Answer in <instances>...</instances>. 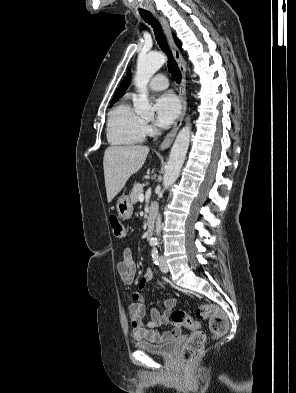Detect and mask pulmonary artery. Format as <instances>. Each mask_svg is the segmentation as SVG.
<instances>
[{
	"label": "pulmonary artery",
	"instance_id": "obj_1",
	"mask_svg": "<svg viewBox=\"0 0 296 393\" xmlns=\"http://www.w3.org/2000/svg\"><path fill=\"white\" fill-rule=\"evenodd\" d=\"M168 85V79L163 74H158L151 79L149 88L152 91H162L167 89Z\"/></svg>",
	"mask_w": 296,
	"mask_h": 393
}]
</instances>
